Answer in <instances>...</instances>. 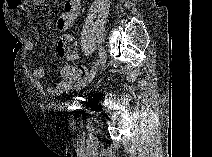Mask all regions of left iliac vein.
Instances as JSON below:
<instances>
[{"label": "left iliac vein", "mask_w": 212, "mask_h": 157, "mask_svg": "<svg viewBox=\"0 0 212 157\" xmlns=\"http://www.w3.org/2000/svg\"><path fill=\"white\" fill-rule=\"evenodd\" d=\"M106 63V62H105ZM105 63H96L94 65V67L91 69V71L88 73V75L86 76V78L84 80H82L76 87L77 90H80L82 88H84L85 86H87L95 77L96 73L98 72V70H102L105 66Z\"/></svg>", "instance_id": "4c4485c4"}]
</instances>
